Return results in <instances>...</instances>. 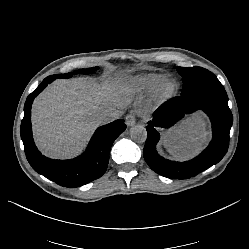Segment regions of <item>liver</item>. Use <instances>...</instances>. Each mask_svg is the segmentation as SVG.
I'll list each match as a JSON object with an SVG mask.
<instances>
[{"label":"liver","instance_id":"obj_1","mask_svg":"<svg viewBox=\"0 0 249 249\" xmlns=\"http://www.w3.org/2000/svg\"><path fill=\"white\" fill-rule=\"evenodd\" d=\"M125 93L123 98L121 94ZM131 103L130 86L121 78L98 83L93 78L58 79L35 98L33 135L39 150L54 159L82 152L99 126L98 113L117 112ZM119 118V117H118ZM211 139L205 115L196 112L163 134V144L176 160L193 158Z\"/></svg>","mask_w":249,"mask_h":249}]
</instances>
